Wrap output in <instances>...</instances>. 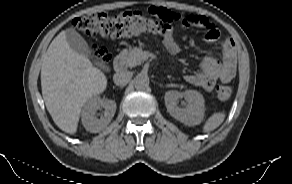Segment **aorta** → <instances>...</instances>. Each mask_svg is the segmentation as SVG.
<instances>
[{
  "mask_svg": "<svg viewBox=\"0 0 292 184\" xmlns=\"http://www.w3.org/2000/svg\"><path fill=\"white\" fill-rule=\"evenodd\" d=\"M133 85L137 90H145L149 86V77L140 73L134 78Z\"/></svg>",
  "mask_w": 292,
  "mask_h": 184,
  "instance_id": "obj_1",
  "label": "aorta"
}]
</instances>
